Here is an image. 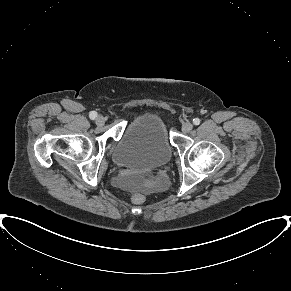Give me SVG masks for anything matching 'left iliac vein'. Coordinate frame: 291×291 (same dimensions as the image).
<instances>
[{"label":"left iliac vein","instance_id":"1","mask_svg":"<svg viewBox=\"0 0 291 291\" xmlns=\"http://www.w3.org/2000/svg\"><path fill=\"white\" fill-rule=\"evenodd\" d=\"M193 128V125L191 123H185L183 126H182V132L183 133H189Z\"/></svg>","mask_w":291,"mask_h":291}]
</instances>
